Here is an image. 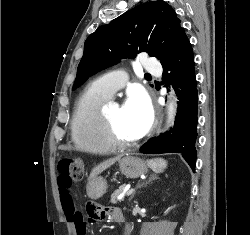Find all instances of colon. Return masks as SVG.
<instances>
[{
  "label": "colon",
  "mask_w": 250,
  "mask_h": 235,
  "mask_svg": "<svg viewBox=\"0 0 250 235\" xmlns=\"http://www.w3.org/2000/svg\"><path fill=\"white\" fill-rule=\"evenodd\" d=\"M58 170H59V186L64 189L71 188L73 182L80 181L83 178L84 175L83 161L80 158L62 160L58 164ZM85 232L86 230L83 228V225L81 223H77L78 235H85Z\"/></svg>",
  "instance_id": "5ec220e1"
}]
</instances>
